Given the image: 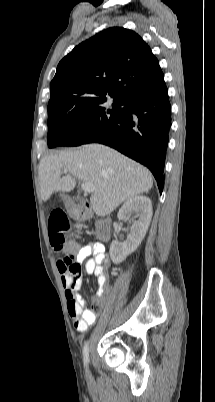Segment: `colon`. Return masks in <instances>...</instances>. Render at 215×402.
<instances>
[{"instance_id":"5ec220e1","label":"colon","mask_w":215,"mask_h":402,"mask_svg":"<svg viewBox=\"0 0 215 402\" xmlns=\"http://www.w3.org/2000/svg\"><path fill=\"white\" fill-rule=\"evenodd\" d=\"M48 227L51 245L56 251H61V264L69 271L78 270L79 264L76 262L75 256L77 250L83 248V243L76 241L75 238H68L66 241L64 232L69 229L66 213L62 210L54 211L49 218Z\"/></svg>"}]
</instances>
